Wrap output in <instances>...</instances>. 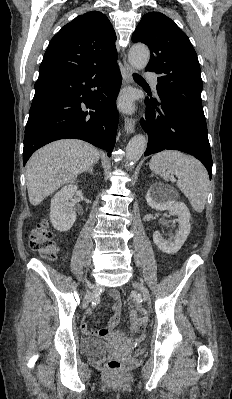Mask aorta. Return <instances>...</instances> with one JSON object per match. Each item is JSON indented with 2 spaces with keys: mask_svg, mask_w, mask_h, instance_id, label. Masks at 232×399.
Listing matches in <instances>:
<instances>
[{
  "mask_svg": "<svg viewBox=\"0 0 232 399\" xmlns=\"http://www.w3.org/2000/svg\"><path fill=\"white\" fill-rule=\"evenodd\" d=\"M150 58V51L143 44L133 45L128 53L130 65L136 70L144 69ZM147 139L143 135L134 136L126 147V164L133 166L145 152Z\"/></svg>",
  "mask_w": 232,
  "mask_h": 399,
  "instance_id": "1",
  "label": "aorta"
}]
</instances>
